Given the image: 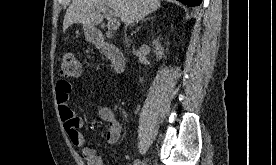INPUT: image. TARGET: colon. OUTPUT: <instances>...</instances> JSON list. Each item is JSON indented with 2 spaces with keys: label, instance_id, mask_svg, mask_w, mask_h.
<instances>
[{
  "label": "colon",
  "instance_id": "1",
  "mask_svg": "<svg viewBox=\"0 0 276 165\" xmlns=\"http://www.w3.org/2000/svg\"><path fill=\"white\" fill-rule=\"evenodd\" d=\"M81 72V62L72 54L66 53L60 64V74L63 77H76Z\"/></svg>",
  "mask_w": 276,
  "mask_h": 165
}]
</instances>
